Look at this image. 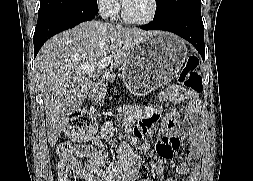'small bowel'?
I'll list each match as a JSON object with an SVG mask.
<instances>
[{
	"label": "small bowel",
	"instance_id": "obj_1",
	"mask_svg": "<svg viewBox=\"0 0 253 181\" xmlns=\"http://www.w3.org/2000/svg\"><path fill=\"white\" fill-rule=\"evenodd\" d=\"M186 101V115L195 116L199 110V101L195 93L182 91L176 86L168 88L165 93L159 96V105L141 107L133 106L128 108V114L138 119V124L134 129L136 137H150L158 129L162 138L158 145V152L162 161L171 159L174 151L178 148V139L182 135L178 127V121L182 117L181 111L171 109L162 114L161 104H180ZM192 134L190 143L191 158L182 162L175 169V174L187 176L185 181H197L199 174L198 156L200 154V133L192 127H188ZM114 137V129L110 122H106L101 131L91 138L90 144L77 145L75 155L85 158L86 176L89 181H136L138 165L132 156L121 153L119 157L106 163V154L99 149L104 140ZM155 174L159 181H175L173 175L166 172L163 163L155 167ZM97 176L96 179L94 176ZM139 181H153L150 178H141Z\"/></svg>",
	"mask_w": 253,
	"mask_h": 181
}]
</instances>
